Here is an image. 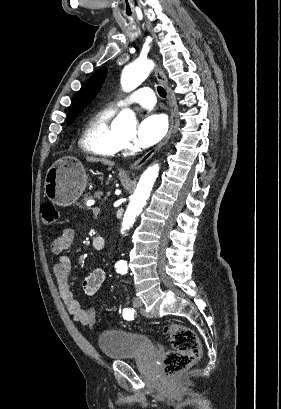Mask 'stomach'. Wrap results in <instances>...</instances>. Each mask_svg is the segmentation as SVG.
Here are the masks:
<instances>
[{"instance_id": "obj_1", "label": "stomach", "mask_w": 281, "mask_h": 409, "mask_svg": "<svg viewBox=\"0 0 281 409\" xmlns=\"http://www.w3.org/2000/svg\"><path fill=\"white\" fill-rule=\"evenodd\" d=\"M88 178L81 160L75 156H62L48 168L44 192L54 205L69 207L85 190Z\"/></svg>"}]
</instances>
